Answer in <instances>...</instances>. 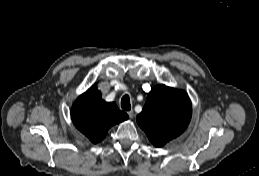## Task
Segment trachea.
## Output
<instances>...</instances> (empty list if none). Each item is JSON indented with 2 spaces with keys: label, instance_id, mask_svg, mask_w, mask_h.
<instances>
[{
  "label": "trachea",
  "instance_id": "trachea-1",
  "mask_svg": "<svg viewBox=\"0 0 259 176\" xmlns=\"http://www.w3.org/2000/svg\"><path fill=\"white\" fill-rule=\"evenodd\" d=\"M121 107L123 110L129 111L131 109L130 98L128 95H124L121 99Z\"/></svg>",
  "mask_w": 259,
  "mask_h": 176
}]
</instances>
